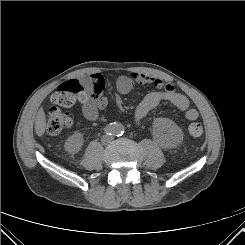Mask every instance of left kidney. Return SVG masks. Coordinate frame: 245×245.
I'll use <instances>...</instances> for the list:
<instances>
[{"label": "left kidney", "instance_id": "left-kidney-1", "mask_svg": "<svg viewBox=\"0 0 245 245\" xmlns=\"http://www.w3.org/2000/svg\"><path fill=\"white\" fill-rule=\"evenodd\" d=\"M154 134L158 141L167 148L177 146L182 140L181 129L171 120L159 118L154 123Z\"/></svg>", "mask_w": 245, "mask_h": 245}]
</instances>
